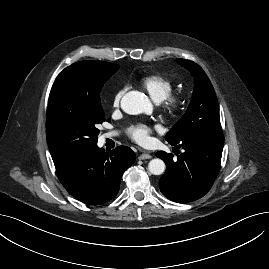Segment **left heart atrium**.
<instances>
[{
	"label": "left heart atrium",
	"mask_w": 269,
	"mask_h": 269,
	"mask_svg": "<svg viewBox=\"0 0 269 269\" xmlns=\"http://www.w3.org/2000/svg\"><path fill=\"white\" fill-rule=\"evenodd\" d=\"M152 128L144 123H136L128 128V134L131 139L138 143H146L149 140Z\"/></svg>",
	"instance_id": "39dd6f15"
}]
</instances>
